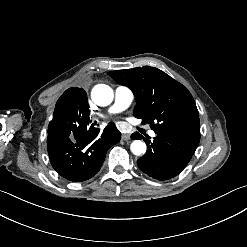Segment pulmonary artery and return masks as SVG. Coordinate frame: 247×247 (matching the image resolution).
<instances>
[{
  "mask_svg": "<svg viewBox=\"0 0 247 247\" xmlns=\"http://www.w3.org/2000/svg\"><path fill=\"white\" fill-rule=\"evenodd\" d=\"M134 100V92L129 86L119 85L115 89V101L109 112H117L130 106ZM150 136L155 137L156 133L150 131Z\"/></svg>",
  "mask_w": 247,
  "mask_h": 247,
  "instance_id": "e3ab8cb5",
  "label": "pulmonary artery"
}]
</instances>
